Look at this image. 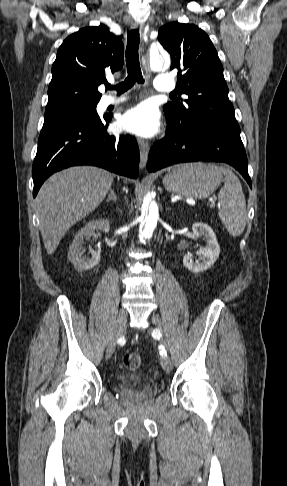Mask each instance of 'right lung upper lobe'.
Listing matches in <instances>:
<instances>
[{
	"instance_id": "right-lung-upper-lobe-1",
	"label": "right lung upper lobe",
	"mask_w": 287,
	"mask_h": 486,
	"mask_svg": "<svg viewBox=\"0 0 287 486\" xmlns=\"http://www.w3.org/2000/svg\"><path fill=\"white\" fill-rule=\"evenodd\" d=\"M123 58L122 36L110 33L104 24L73 33L58 49L46 108L99 101L98 86L106 81V72L122 68Z\"/></svg>"
}]
</instances>
